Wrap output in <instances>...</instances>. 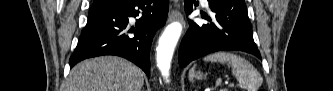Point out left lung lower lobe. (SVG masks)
<instances>
[{"instance_id": "left-lung-lower-lobe-1", "label": "left lung lower lobe", "mask_w": 333, "mask_h": 91, "mask_svg": "<svg viewBox=\"0 0 333 91\" xmlns=\"http://www.w3.org/2000/svg\"><path fill=\"white\" fill-rule=\"evenodd\" d=\"M208 1L211 11L215 13V23L198 26L189 21L190 27L179 48L180 67L216 51H243L261 59L253 40L252 25L244 0ZM194 2L195 0H185L187 14L193 11ZM197 4L198 2L194 6Z\"/></svg>"}]
</instances>
